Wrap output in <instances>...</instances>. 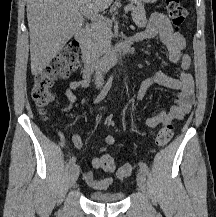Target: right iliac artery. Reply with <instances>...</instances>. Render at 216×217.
I'll return each instance as SVG.
<instances>
[{
	"instance_id": "82829eb1",
	"label": "right iliac artery",
	"mask_w": 216,
	"mask_h": 217,
	"mask_svg": "<svg viewBox=\"0 0 216 217\" xmlns=\"http://www.w3.org/2000/svg\"><path fill=\"white\" fill-rule=\"evenodd\" d=\"M112 81H113V76H111L108 81L106 82V84L104 85L102 91L99 93V95L97 96V98L95 99L94 103L97 104L99 102H101L105 96L107 95L108 91L111 88L112 85ZM76 162V158L73 156L70 160H69V167H72Z\"/></svg>"
}]
</instances>
